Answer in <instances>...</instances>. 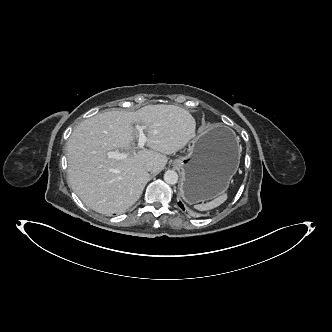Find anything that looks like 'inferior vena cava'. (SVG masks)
<instances>
[{
  "instance_id": "1",
  "label": "inferior vena cava",
  "mask_w": 332,
  "mask_h": 332,
  "mask_svg": "<svg viewBox=\"0 0 332 332\" xmlns=\"http://www.w3.org/2000/svg\"><path fill=\"white\" fill-rule=\"evenodd\" d=\"M153 166H154L153 163L148 162V163H146L144 165V168H145L146 171H152L153 170Z\"/></svg>"
}]
</instances>
